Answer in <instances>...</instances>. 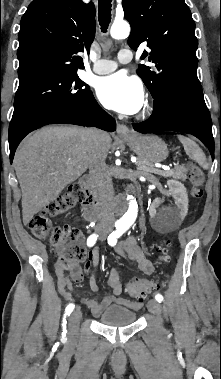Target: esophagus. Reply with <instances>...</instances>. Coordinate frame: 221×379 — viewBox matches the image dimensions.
Masks as SVG:
<instances>
[{
	"label": "esophagus",
	"mask_w": 221,
	"mask_h": 379,
	"mask_svg": "<svg viewBox=\"0 0 221 379\" xmlns=\"http://www.w3.org/2000/svg\"><path fill=\"white\" fill-rule=\"evenodd\" d=\"M117 134L121 137L130 136V130L129 128L124 124H117Z\"/></svg>",
	"instance_id": "obj_1"
}]
</instances>
